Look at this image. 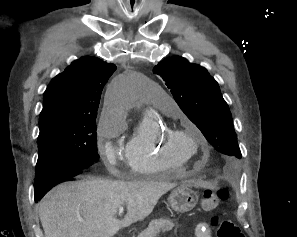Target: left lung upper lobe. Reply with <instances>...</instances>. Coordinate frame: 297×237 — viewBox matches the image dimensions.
I'll list each match as a JSON object with an SVG mask.
<instances>
[{
    "mask_svg": "<svg viewBox=\"0 0 297 237\" xmlns=\"http://www.w3.org/2000/svg\"><path fill=\"white\" fill-rule=\"evenodd\" d=\"M153 73L162 77L182 111L216 151L241 158L228 104L205 68L174 56L155 66Z\"/></svg>",
    "mask_w": 297,
    "mask_h": 237,
    "instance_id": "1",
    "label": "left lung upper lobe"
}]
</instances>
